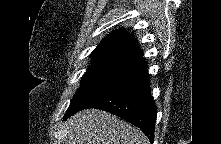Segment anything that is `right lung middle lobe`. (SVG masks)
I'll return each instance as SVG.
<instances>
[{
    "label": "right lung middle lobe",
    "mask_w": 221,
    "mask_h": 144,
    "mask_svg": "<svg viewBox=\"0 0 221 144\" xmlns=\"http://www.w3.org/2000/svg\"><path fill=\"white\" fill-rule=\"evenodd\" d=\"M92 62L82 78V83L67 109L64 119L97 98L131 73L143 60V56L127 53H103L92 55Z\"/></svg>",
    "instance_id": "right-lung-middle-lobe-1"
}]
</instances>
